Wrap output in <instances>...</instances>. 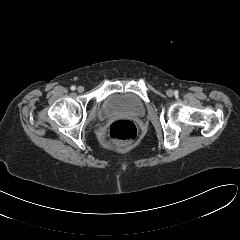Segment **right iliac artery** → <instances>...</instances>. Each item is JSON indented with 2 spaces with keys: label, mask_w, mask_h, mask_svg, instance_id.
Segmentation results:
<instances>
[{
  "label": "right iliac artery",
  "mask_w": 240,
  "mask_h": 240,
  "mask_svg": "<svg viewBox=\"0 0 240 240\" xmlns=\"http://www.w3.org/2000/svg\"><path fill=\"white\" fill-rule=\"evenodd\" d=\"M76 89V87L73 85V86H71V90H75Z\"/></svg>",
  "instance_id": "1"
}]
</instances>
